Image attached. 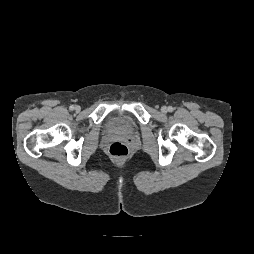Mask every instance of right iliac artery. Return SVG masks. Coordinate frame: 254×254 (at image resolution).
<instances>
[{"label": "right iliac artery", "mask_w": 254, "mask_h": 254, "mask_svg": "<svg viewBox=\"0 0 254 254\" xmlns=\"http://www.w3.org/2000/svg\"><path fill=\"white\" fill-rule=\"evenodd\" d=\"M69 109H70L71 111L74 110V109H75L74 105H71V106L69 107Z\"/></svg>", "instance_id": "82829eb1"}]
</instances>
